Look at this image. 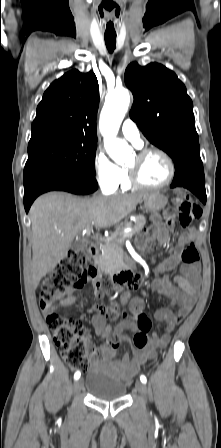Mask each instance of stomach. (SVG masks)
Masks as SVG:
<instances>
[{"mask_svg": "<svg viewBox=\"0 0 221 448\" xmlns=\"http://www.w3.org/2000/svg\"><path fill=\"white\" fill-rule=\"evenodd\" d=\"M144 208L150 212H159L165 208L168 199L159 192H153L143 198Z\"/></svg>", "mask_w": 221, "mask_h": 448, "instance_id": "obj_1", "label": "stomach"}]
</instances>
